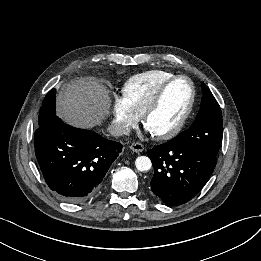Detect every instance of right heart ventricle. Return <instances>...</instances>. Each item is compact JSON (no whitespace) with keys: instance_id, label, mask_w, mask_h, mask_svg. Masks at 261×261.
<instances>
[{"instance_id":"obj_1","label":"right heart ventricle","mask_w":261,"mask_h":261,"mask_svg":"<svg viewBox=\"0 0 261 261\" xmlns=\"http://www.w3.org/2000/svg\"><path fill=\"white\" fill-rule=\"evenodd\" d=\"M174 73L164 70H150L130 77L122 87V96L130 107L141 116L159 88Z\"/></svg>"}]
</instances>
